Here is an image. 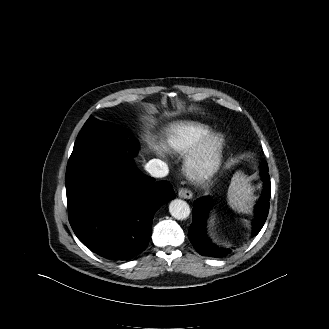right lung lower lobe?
<instances>
[{"mask_svg": "<svg viewBox=\"0 0 329 329\" xmlns=\"http://www.w3.org/2000/svg\"><path fill=\"white\" fill-rule=\"evenodd\" d=\"M69 222L77 238L94 253L129 260L141 253L152 234L153 216L175 198L168 181L139 172L133 159L100 150L67 167Z\"/></svg>", "mask_w": 329, "mask_h": 329, "instance_id": "1", "label": "right lung lower lobe"}]
</instances>
